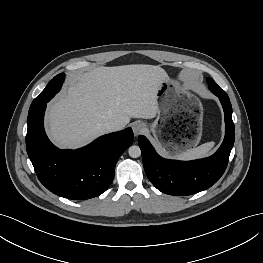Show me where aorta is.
I'll use <instances>...</instances> for the list:
<instances>
[{
  "label": "aorta",
  "instance_id": "762f6f07",
  "mask_svg": "<svg viewBox=\"0 0 263 263\" xmlns=\"http://www.w3.org/2000/svg\"><path fill=\"white\" fill-rule=\"evenodd\" d=\"M129 156L132 158H138L141 156V149L137 145H132L128 149Z\"/></svg>",
  "mask_w": 263,
  "mask_h": 263
}]
</instances>
